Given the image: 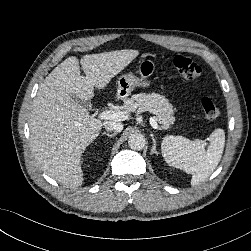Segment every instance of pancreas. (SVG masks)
<instances>
[{
  "label": "pancreas",
  "instance_id": "1",
  "mask_svg": "<svg viewBox=\"0 0 251 251\" xmlns=\"http://www.w3.org/2000/svg\"><path fill=\"white\" fill-rule=\"evenodd\" d=\"M123 108L127 112L142 109L154 113L156 121L161 124V129L164 130L169 129L175 122L172 104L165 96L160 94H134L131 98L125 100Z\"/></svg>",
  "mask_w": 251,
  "mask_h": 251
}]
</instances>
